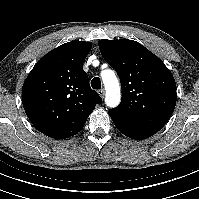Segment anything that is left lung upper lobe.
<instances>
[{
    "label": "left lung upper lobe",
    "instance_id": "5c2ea615",
    "mask_svg": "<svg viewBox=\"0 0 199 199\" xmlns=\"http://www.w3.org/2000/svg\"><path fill=\"white\" fill-rule=\"evenodd\" d=\"M103 58L118 73L122 99L112 111L158 132L170 119L177 100L176 83L164 63L140 43L100 40Z\"/></svg>",
    "mask_w": 199,
    "mask_h": 199
}]
</instances>
